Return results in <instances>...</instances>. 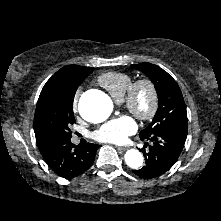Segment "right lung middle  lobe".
Instances as JSON below:
<instances>
[{
	"instance_id": "obj_1",
	"label": "right lung middle lobe",
	"mask_w": 221,
	"mask_h": 221,
	"mask_svg": "<svg viewBox=\"0 0 221 221\" xmlns=\"http://www.w3.org/2000/svg\"><path fill=\"white\" fill-rule=\"evenodd\" d=\"M94 68L78 73L74 84L59 93L38 101L34 116L35 135L41 141H69L72 137L70 126L74 124L73 100L78 86Z\"/></svg>"
}]
</instances>
